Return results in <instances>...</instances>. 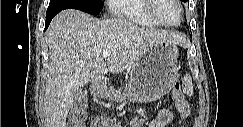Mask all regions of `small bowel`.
I'll return each mask as SVG.
<instances>
[{
    "instance_id": "obj_1",
    "label": "small bowel",
    "mask_w": 243,
    "mask_h": 127,
    "mask_svg": "<svg viewBox=\"0 0 243 127\" xmlns=\"http://www.w3.org/2000/svg\"><path fill=\"white\" fill-rule=\"evenodd\" d=\"M175 108L179 113V122L184 121L190 114V106L187 101L175 100ZM173 121V113L167 109L162 108L157 116L149 122V127H168L171 126ZM91 127H119V124L108 121L104 118H98L92 122Z\"/></svg>"
}]
</instances>
